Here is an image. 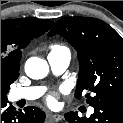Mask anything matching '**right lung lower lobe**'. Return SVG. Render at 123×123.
Segmentation results:
<instances>
[{
    "label": "right lung lower lobe",
    "instance_id": "obj_1",
    "mask_svg": "<svg viewBox=\"0 0 123 123\" xmlns=\"http://www.w3.org/2000/svg\"><path fill=\"white\" fill-rule=\"evenodd\" d=\"M45 113L37 107H26L24 111H16L8 104L6 97L1 96V123H43Z\"/></svg>",
    "mask_w": 123,
    "mask_h": 123
}]
</instances>
